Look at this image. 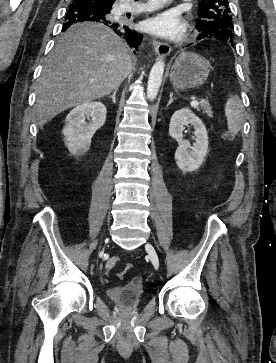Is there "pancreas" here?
I'll return each instance as SVG.
<instances>
[{
    "mask_svg": "<svg viewBox=\"0 0 276 363\" xmlns=\"http://www.w3.org/2000/svg\"><path fill=\"white\" fill-rule=\"evenodd\" d=\"M196 110L200 111L202 110L203 114H207L209 117H213V112L211 110V106L207 100H201L199 102V105L195 107Z\"/></svg>",
    "mask_w": 276,
    "mask_h": 363,
    "instance_id": "obj_1",
    "label": "pancreas"
}]
</instances>
